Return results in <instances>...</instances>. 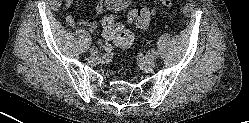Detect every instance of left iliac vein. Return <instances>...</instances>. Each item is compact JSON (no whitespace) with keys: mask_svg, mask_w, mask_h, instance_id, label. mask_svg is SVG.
<instances>
[{"mask_svg":"<svg viewBox=\"0 0 249 123\" xmlns=\"http://www.w3.org/2000/svg\"><path fill=\"white\" fill-rule=\"evenodd\" d=\"M146 63L152 65L154 63L155 57L152 52H149L145 56Z\"/></svg>","mask_w":249,"mask_h":123,"instance_id":"left-iliac-vein-1","label":"left iliac vein"}]
</instances>
